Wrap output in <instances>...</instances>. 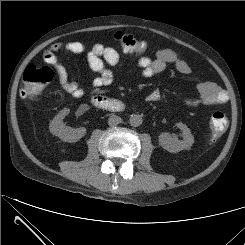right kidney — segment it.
<instances>
[{
    "instance_id": "right-kidney-1",
    "label": "right kidney",
    "mask_w": 245,
    "mask_h": 245,
    "mask_svg": "<svg viewBox=\"0 0 245 245\" xmlns=\"http://www.w3.org/2000/svg\"><path fill=\"white\" fill-rule=\"evenodd\" d=\"M69 112L70 110L67 108L61 110L50 122L49 130L62 141L73 143L79 141L86 134V128L80 127L74 129L69 126H65L63 119L69 114Z\"/></svg>"
}]
</instances>
